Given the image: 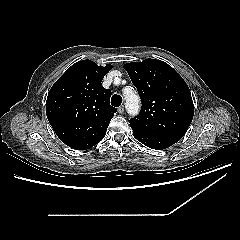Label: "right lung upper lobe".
Wrapping results in <instances>:
<instances>
[{"mask_svg":"<svg viewBox=\"0 0 240 240\" xmlns=\"http://www.w3.org/2000/svg\"><path fill=\"white\" fill-rule=\"evenodd\" d=\"M111 69V65L102 67L82 60L51 87L46 101L47 118L67 146L86 150L104 138L116 112L109 104L111 91L101 83Z\"/></svg>","mask_w":240,"mask_h":240,"instance_id":"1","label":"right lung upper lobe"}]
</instances>
